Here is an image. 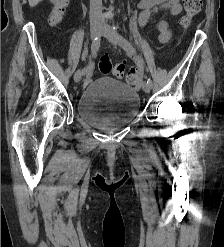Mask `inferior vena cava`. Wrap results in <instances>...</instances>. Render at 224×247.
Returning a JSON list of instances; mask_svg holds the SVG:
<instances>
[{
	"mask_svg": "<svg viewBox=\"0 0 224 247\" xmlns=\"http://www.w3.org/2000/svg\"><path fill=\"white\" fill-rule=\"evenodd\" d=\"M90 22L105 26L102 16V0H90Z\"/></svg>",
	"mask_w": 224,
	"mask_h": 247,
	"instance_id": "inferior-vena-cava-1",
	"label": "inferior vena cava"
}]
</instances>
